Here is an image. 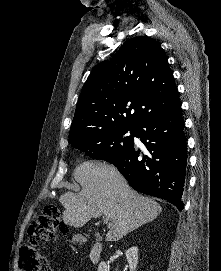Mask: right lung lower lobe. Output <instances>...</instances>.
<instances>
[{"mask_svg": "<svg viewBox=\"0 0 221 271\" xmlns=\"http://www.w3.org/2000/svg\"><path fill=\"white\" fill-rule=\"evenodd\" d=\"M180 107L178 104L138 124L134 136L146 146L147 155L135 149L133 144L112 164L133 189L165 199L182 210L187 147Z\"/></svg>", "mask_w": 221, "mask_h": 271, "instance_id": "1", "label": "right lung lower lobe"}]
</instances>
